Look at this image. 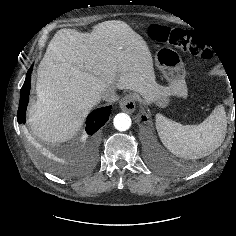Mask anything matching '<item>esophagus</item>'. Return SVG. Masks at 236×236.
I'll list each match as a JSON object with an SVG mask.
<instances>
[{
    "label": "esophagus",
    "mask_w": 236,
    "mask_h": 236,
    "mask_svg": "<svg viewBox=\"0 0 236 236\" xmlns=\"http://www.w3.org/2000/svg\"><path fill=\"white\" fill-rule=\"evenodd\" d=\"M119 105L124 112L133 113L136 108V96L134 94L126 95L121 99Z\"/></svg>",
    "instance_id": "1"
}]
</instances>
